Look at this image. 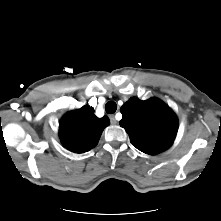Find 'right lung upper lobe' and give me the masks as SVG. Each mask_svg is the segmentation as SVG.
Instances as JSON below:
<instances>
[{
  "instance_id": "obj_1",
  "label": "right lung upper lobe",
  "mask_w": 221,
  "mask_h": 221,
  "mask_svg": "<svg viewBox=\"0 0 221 221\" xmlns=\"http://www.w3.org/2000/svg\"><path fill=\"white\" fill-rule=\"evenodd\" d=\"M59 125L63 145L72 152L83 153L97 145L103 129L109 125V119L96 117L94 108L85 105L65 114Z\"/></svg>"
}]
</instances>
